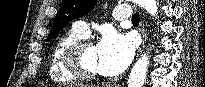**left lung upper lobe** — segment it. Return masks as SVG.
Wrapping results in <instances>:
<instances>
[{
	"label": "left lung upper lobe",
	"mask_w": 205,
	"mask_h": 87,
	"mask_svg": "<svg viewBox=\"0 0 205 87\" xmlns=\"http://www.w3.org/2000/svg\"><path fill=\"white\" fill-rule=\"evenodd\" d=\"M96 3L97 0H62L47 41L58 34L67 23L90 12Z\"/></svg>",
	"instance_id": "left-lung-upper-lobe-1"
}]
</instances>
